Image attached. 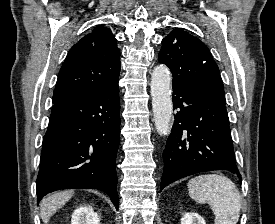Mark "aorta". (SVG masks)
I'll return each instance as SVG.
<instances>
[{
    "label": "aorta",
    "instance_id": "762f6f07",
    "mask_svg": "<svg viewBox=\"0 0 275 224\" xmlns=\"http://www.w3.org/2000/svg\"><path fill=\"white\" fill-rule=\"evenodd\" d=\"M171 73L164 65L155 67L151 76V96L154 123L160 135H168L171 131L172 97Z\"/></svg>",
    "mask_w": 275,
    "mask_h": 224
}]
</instances>
